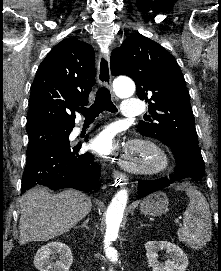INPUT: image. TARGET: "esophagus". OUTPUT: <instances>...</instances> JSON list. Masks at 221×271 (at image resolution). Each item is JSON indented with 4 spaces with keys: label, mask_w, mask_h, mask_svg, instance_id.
<instances>
[{
    "label": "esophagus",
    "mask_w": 221,
    "mask_h": 271,
    "mask_svg": "<svg viewBox=\"0 0 221 271\" xmlns=\"http://www.w3.org/2000/svg\"><path fill=\"white\" fill-rule=\"evenodd\" d=\"M97 78L101 85L111 88V69H110V57L107 54L100 53L98 58V68H97ZM114 100H116L115 95H113ZM113 176L121 180L122 183H126L128 178L124 173L120 171H114Z\"/></svg>",
    "instance_id": "34e87169"
}]
</instances>
